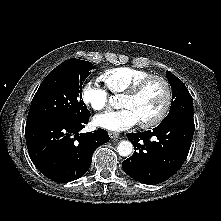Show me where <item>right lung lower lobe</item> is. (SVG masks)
<instances>
[{
    "label": "right lung lower lobe",
    "instance_id": "right-lung-lower-lobe-1",
    "mask_svg": "<svg viewBox=\"0 0 221 221\" xmlns=\"http://www.w3.org/2000/svg\"><path fill=\"white\" fill-rule=\"evenodd\" d=\"M89 116L78 120L59 118L26 122V144L31 160L47 178L73 181L87 172L94 150L109 141L106 130L79 133Z\"/></svg>",
    "mask_w": 221,
    "mask_h": 221
}]
</instances>
